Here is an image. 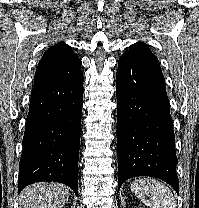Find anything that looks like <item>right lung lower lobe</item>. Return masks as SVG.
<instances>
[{
    "mask_svg": "<svg viewBox=\"0 0 199 208\" xmlns=\"http://www.w3.org/2000/svg\"><path fill=\"white\" fill-rule=\"evenodd\" d=\"M83 91L82 74L32 90L18 192L31 183L55 181L77 195Z\"/></svg>",
    "mask_w": 199,
    "mask_h": 208,
    "instance_id": "right-lung-lower-lobe-1",
    "label": "right lung lower lobe"
}]
</instances>
